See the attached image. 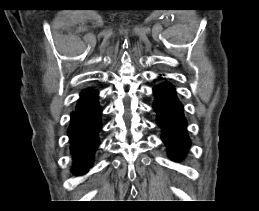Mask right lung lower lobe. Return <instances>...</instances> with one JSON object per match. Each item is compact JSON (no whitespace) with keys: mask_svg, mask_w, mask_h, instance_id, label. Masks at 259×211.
<instances>
[{"mask_svg":"<svg viewBox=\"0 0 259 211\" xmlns=\"http://www.w3.org/2000/svg\"><path fill=\"white\" fill-rule=\"evenodd\" d=\"M97 91L84 90L71 113L68 129L70 150L73 158V173L83 174L92 166L94 152L99 145L98 132L101 129V107L97 102Z\"/></svg>","mask_w":259,"mask_h":211,"instance_id":"obj_1","label":"right lung lower lobe"}]
</instances>
